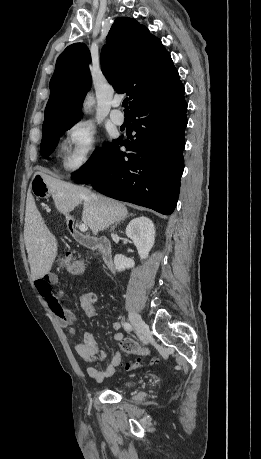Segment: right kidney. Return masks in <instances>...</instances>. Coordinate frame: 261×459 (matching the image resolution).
<instances>
[{
    "label": "right kidney",
    "mask_w": 261,
    "mask_h": 459,
    "mask_svg": "<svg viewBox=\"0 0 261 459\" xmlns=\"http://www.w3.org/2000/svg\"><path fill=\"white\" fill-rule=\"evenodd\" d=\"M126 235L136 246L140 259L145 260L148 258L149 252L155 241V227L153 222L145 216L135 218L127 225ZM114 265L115 269L121 272L125 269L133 268L135 262L131 258L116 254L114 257Z\"/></svg>",
    "instance_id": "right-kidney-1"
}]
</instances>
